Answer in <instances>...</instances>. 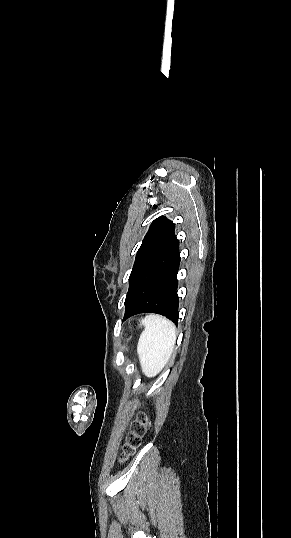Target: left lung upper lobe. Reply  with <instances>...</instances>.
I'll list each match as a JSON object with an SVG mask.
<instances>
[{"instance_id":"5c2ea615","label":"left lung upper lobe","mask_w":291,"mask_h":538,"mask_svg":"<svg viewBox=\"0 0 291 538\" xmlns=\"http://www.w3.org/2000/svg\"><path fill=\"white\" fill-rule=\"evenodd\" d=\"M175 224L164 217L156 219L147 232L137 254L129 277L127 301L140 276L177 238L174 234Z\"/></svg>"}]
</instances>
